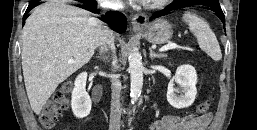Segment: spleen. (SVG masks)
<instances>
[{
    "label": "spleen",
    "mask_w": 257,
    "mask_h": 130,
    "mask_svg": "<svg viewBox=\"0 0 257 130\" xmlns=\"http://www.w3.org/2000/svg\"><path fill=\"white\" fill-rule=\"evenodd\" d=\"M183 20L189 25L190 31L197 38L199 47L214 61L221 60V49L209 24L203 18L192 12H185L183 14Z\"/></svg>",
    "instance_id": "3e777b00"
}]
</instances>
